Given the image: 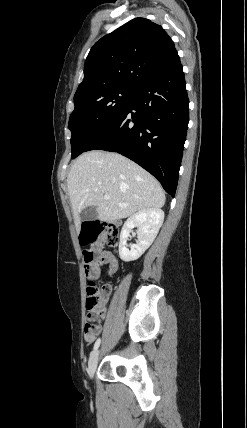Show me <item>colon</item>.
<instances>
[{
  "instance_id": "colon-1",
  "label": "colon",
  "mask_w": 247,
  "mask_h": 428,
  "mask_svg": "<svg viewBox=\"0 0 247 428\" xmlns=\"http://www.w3.org/2000/svg\"><path fill=\"white\" fill-rule=\"evenodd\" d=\"M99 237H102L104 243L112 248H115L119 244L120 235L119 229L111 224H101V223H88L82 234H78V243H83L87 245L90 243H98ZM84 258V267L87 276L93 279V269H94V259L95 251L92 248H87L83 251ZM110 293V287L107 285L96 286L91 282L90 286L87 289V320L88 322L84 327V334L91 335L96 330V324L93 323L96 319L102 317L105 313L104 308V299Z\"/></svg>"
}]
</instances>
